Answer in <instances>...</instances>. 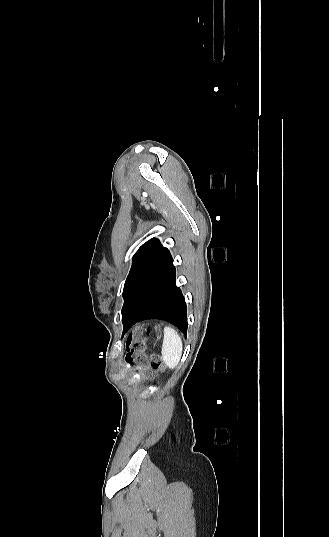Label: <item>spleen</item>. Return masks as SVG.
<instances>
[{"label":"spleen","instance_id":"obj_1","mask_svg":"<svg viewBox=\"0 0 329 537\" xmlns=\"http://www.w3.org/2000/svg\"><path fill=\"white\" fill-rule=\"evenodd\" d=\"M183 351L181 337L171 327H165L162 345V357L164 363L171 369L179 363Z\"/></svg>","mask_w":329,"mask_h":537}]
</instances>
